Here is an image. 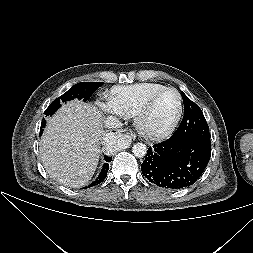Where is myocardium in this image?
Listing matches in <instances>:
<instances>
[{
    "label": "myocardium",
    "mask_w": 253,
    "mask_h": 253,
    "mask_svg": "<svg viewBox=\"0 0 253 253\" xmlns=\"http://www.w3.org/2000/svg\"><path fill=\"white\" fill-rule=\"evenodd\" d=\"M172 91L175 93L177 97V112L173 120L170 122L169 125H167L165 128L159 131H149L145 129L143 126V118L150 109L153 102L156 100L157 97H159L161 94ZM183 111V104H182V97L179 93V91L173 87H164L161 90H158L151 95H149L141 104L140 108L136 112L134 116V125L137 131L145 138L151 139V140H158L162 139L166 136H168L177 126V124L180 121V118L182 116Z\"/></svg>",
    "instance_id": "obj_1"
}]
</instances>
